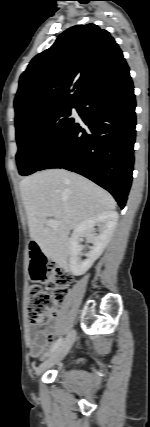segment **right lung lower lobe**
Returning a JSON list of instances; mask_svg holds the SVG:
<instances>
[{
  "mask_svg": "<svg viewBox=\"0 0 150 427\" xmlns=\"http://www.w3.org/2000/svg\"><path fill=\"white\" fill-rule=\"evenodd\" d=\"M135 95L127 66L90 91L72 121L36 171L64 168L108 190L124 208L132 182Z\"/></svg>",
  "mask_w": 150,
  "mask_h": 427,
  "instance_id": "obj_1",
  "label": "right lung lower lobe"
}]
</instances>
